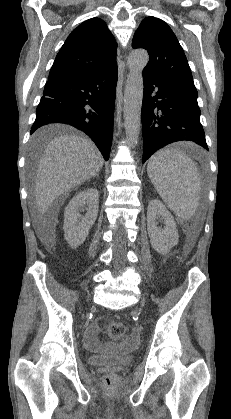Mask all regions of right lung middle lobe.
Segmentation results:
<instances>
[{"mask_svg": "<svg viewBox=\"0 0 231 419\" xmlns=\"http://www.w3.org/2000/svg\"><path fill=\"white\" fill-rule=\"evenodd\" d=\"M33 144H34L35 147H39L41 142L39 143L38 141H34Z\"/></svg>", "mask_w": 231, "mask_h": 419, "instance_id": "dd1d6c3e", "label": "right lung middle lobe"}]
</instances>
